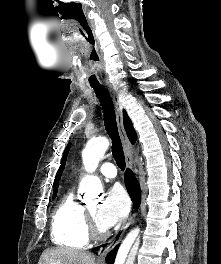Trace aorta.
<instances>
[{"label":"aorta","mask_w":221,"mask_h":264,"mask_svg":"<svg viewBox=\"0 0 221 264\" xmlns=\"http://www.w3.org/2000/svg\"><path fill=\"white\" fill-rule=\"evenodd\" d=\"M109 142L107 139L90 141L82 152V161L85 170L90 173L82 178L80 189L86 200L96 198L103 191L102 184L98 177L92 173L96 170L99 161L104 157ZM140 236L136 232L130 233L122 242L117 253L115 264H134L138 252Z\"/></svg>","instance_id":"aorta-1"}]
</instances>
